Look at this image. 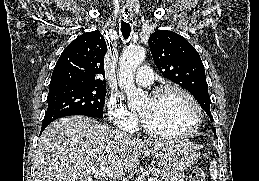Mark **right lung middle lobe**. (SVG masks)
<instances>
[{"label":"right lung middle lobe","mask_w":259,"mask_h":181,"mask_svg":"<svg viewBox=\"0 0 259 181\" xmlns=\"http://www.w3.org/2000/svg\"><path fill=\"white\" fill-rule=\"evenodd\" d=\"M105 96L106 87L73 84L50 86L48 109L42 124L73 114L102 118Z\"/></svg>","instance_id":"right-lung-middle-lobe-1"}]
</instances>
